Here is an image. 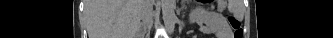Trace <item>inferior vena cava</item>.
Wrapping results in <instances>:
<instances>
[{
  "label": "inferior vena cava",
  "instance_id": "1",
  "mask_svg": "<svg viewBox=\"0 0 333 38\" xmlns=\"http://www.w3.org/2000/svg\"><path fill=\"white\" fill-rule=\"evenodd\" d=\"M152 2L153 0H143L142 20L146 26L153 23Z\"/></svg>",
  "mask_w": 333,
  "mask_h": 38
}]
</instances>
